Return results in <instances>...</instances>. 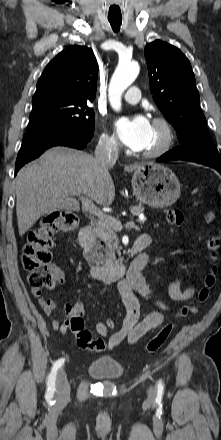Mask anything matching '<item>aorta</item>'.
<instances>
[{
    "label": "aorta",
    "mask_w": 221,
    "mask_h": 440,
    "mask_svg": "<svg viewBox=\"0 0 221 440\" xmlns=\"http://www.w3.org/2000/svg\"><path fill=\"white\" fill-rule=\"evenodd\" d=\"M139 65L136 62L119 63L109 84L108 95L113 109L121 108L123 92L134 82L139 74Z\"/></svg>",
    "instance_id": "1"
}]
</instances>
